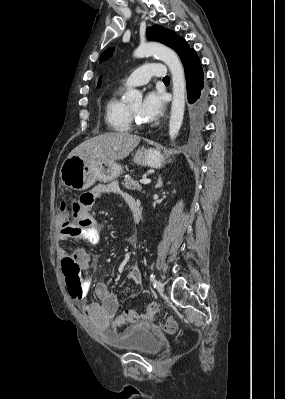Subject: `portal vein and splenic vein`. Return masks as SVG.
I'll use <instances>...</instances> for the list:
<instances>
[{"mask_svg": "<svg viewBox=\"0 0 285 399\" xmlns=\"http://www.w3.org/2000/svg\"><path fill=\"white\" fill-rule=\"evenodd\" d=\"M140 183L149 184V183H151V180L150 179H143V180H140Z\"/></svg>", "mask_w": 285, "mask_h": 399, "instance_id": "obj_1", "label": "portal vein and splenic vein"}]
</instances>
